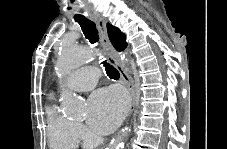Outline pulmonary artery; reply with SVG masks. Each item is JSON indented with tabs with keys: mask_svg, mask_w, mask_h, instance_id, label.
Listing matches in <instances>:
<instances>
[{
	"mask_svg": "<svg viewBox=\"0 0 227 149\" xmlns=\"http://www.w3.org/2000/svg\"><path fill=\"white\" fill-rule=\"evenodd\" d=\"M98 76L99 71L95 67H82L67 76L66 85L75 91H89L96 86Z\"/></svg>",
	"mask_w": 227,
	"mask_h": 149,
	"instance_id": "obj_1",
	"label": "pulmonary artery"
}]
</instances>
